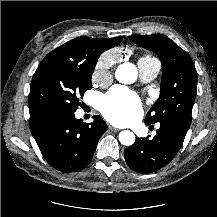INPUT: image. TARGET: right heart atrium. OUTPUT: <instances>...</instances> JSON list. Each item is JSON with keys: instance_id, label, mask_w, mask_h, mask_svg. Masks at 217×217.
<instances>
[{"instance_id": "obj_1", "label": "right heart atrium", "mask_w": 217, "mask_h": 217, "mask_svg": "<svg viewBox=\"0 0 217 217\" xmlns=\"http://www.w3.org/2000/svg\"><path fill=\"white\" fill-rule=\"evenodd\" d=\"M116 60L114 51L103 53L96 64L93 79L98 83L105 84L110 81L112 76V68Z\"/></svg>"}]
</instances>
